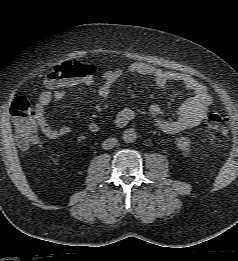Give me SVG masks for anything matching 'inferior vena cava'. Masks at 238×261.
<instances>
[{
  "label": "inferior vena cava",
  "instance_id": "602c4592",
  "mask_svg": "<svg viewBox=\"0 0 238 261\" xmlns=\"http://www.w3.org/2000/svg\"><path fill=\"white\" fill-rule=\"evenodd\" d=\"M118 140L116 138H108L102 143V148L104 150L112 149L116 144Z\"/></svg>",
  "mask_w": 238,
  "mask_h": 261
}]
</instances>
